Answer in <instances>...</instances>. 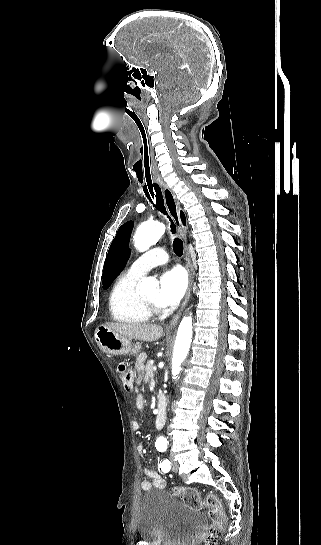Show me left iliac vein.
Listing matches in <instances>:
<instances>
[{
	"instance_id": "1",
	"label": "left iliac vein",
	"mask_w": 321,
	"mask_h": 545,
	"mask_svg": "<svg viewBox=\"0 0 321 545\" xmlns=\"http://www.w3.org/2000/svg\"><path fill=\"white\" fill-rule=\"evenodd\" d=\"M171 460V469L173 472H177L179 469V464L173 459V457H170Z\"/></svg>"
}]
</instances>
